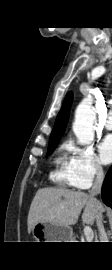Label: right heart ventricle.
<instances>
[{
    "mask_svg": "<svg viewBox=\"0 0 112 270\" xmlns=\"http://www.w3.org/2000/svg\"><path fill=\"white\" fill-rule=\"evenodd\" d=\"M54 165V169L50 174L51 179L61 186L71 185L66 159L62 155H59L55 158Z\"/></svg>",
    "mask_w": 112,
    "mask_h": 270,
    "instance_id": "1",
    "label": "right heart ventricle"
}]
</instances>
